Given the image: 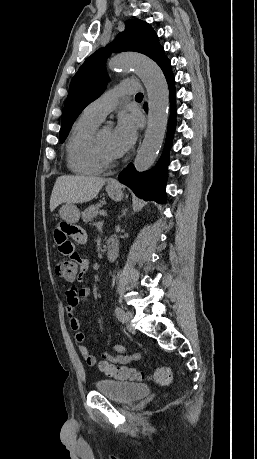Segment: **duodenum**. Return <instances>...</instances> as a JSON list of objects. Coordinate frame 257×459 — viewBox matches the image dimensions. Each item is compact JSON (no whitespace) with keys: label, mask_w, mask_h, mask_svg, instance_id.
Here are the masks:
<instances>
[{"label":"duodenum","mask_w":257,"mask_h":459,"mask_svg":"<svg viewBox=\"0 0 257 459\" xmlns=\"http://www.w3.org/2000/svg\"><path fill=\"white\" fill-rule=\"evenodd\" d=\"M119 253V245L116 239H110L107 243L106 257L108 261L113 262L116 260Z\"/></svg>","instance_id":"410a0bca"}]
</instances>
